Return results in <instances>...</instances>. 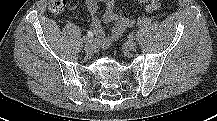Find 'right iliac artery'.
<instances>
[{
    "instance_id": "1",
    "label": "right iliac artery",
    "mask_w": 217,
    "mask_h": 121,
    "mask_svg": "<svg viewBox=\"0 0 217 121\" xmlns=\"http://www.w3.org/2000/svg\"><path fill=\"white\" fill-rule=\"evenodd\" d=\"M84 42L86 44H93V45H96L98 43L96 39L89 38V37H84Z\"/></svg>"
}]
</instances>
